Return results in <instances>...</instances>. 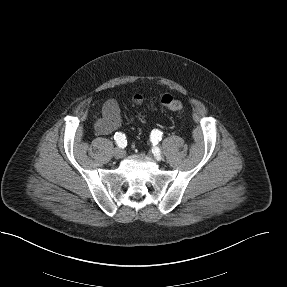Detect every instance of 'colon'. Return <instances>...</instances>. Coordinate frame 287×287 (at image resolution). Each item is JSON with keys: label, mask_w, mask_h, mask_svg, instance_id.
<instances>
[{"label": "colon", "mask_w": 287, "mask_h": 287, "mask_svg": "<svg viewBox=\"0 0 287 287\" xmlns=\"http://www.w3.org/2000/svg\"><path fill=\"white\" fill-rule=\"evenodd\" d=\"M144 98L141 95L135 96L136 102H142ZM158 102L161 106H163L165 109L173 112V113H181L183 111V103L180 99L177 97L170 95V94H163L158 97Z\"/></svg>", "instance_id": "1"}]
</instances>
